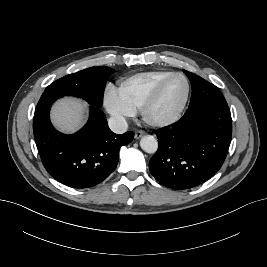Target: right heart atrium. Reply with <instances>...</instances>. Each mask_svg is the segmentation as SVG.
<instances>
[{
  "instance_id": "right-heart-atrium-1",
  "label": "right heart atrium",
  "mask_w": 267,
  "mask_h": 267,
  "mask_svg": "<svg viewBox=\"0 0 267 267\" xmlns=\"http://www.w3.org/2000/svg\"><path fill=\"white\" fill-rule=\"evenodd\" d=\"M104 106L107 112L119 123H124L127 118L135 113L118 95L113 87H107L104 92Z\"/></svg>"
}]
</instances>
